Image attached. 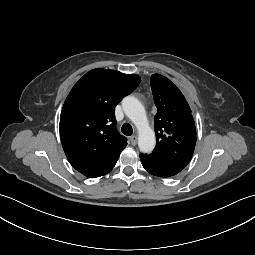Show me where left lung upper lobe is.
I'll return each instance as SVG.
<instances>
[{"label": "left lung upper lobe", "mask_w": 255, "mask_h": 255, "mask_svg": "<svg viewBox=\"0 0 255 255\" xmlns=\"http://www.w3.org/2000/svg\"><path fill=\"white\" fill-rule=\"evenodd\" d=\"M151 89L157 114L154 118L156 146L149 156L168 158L192 155L196 128L191 109L181 91L166 77L153 74Z\"/></svg>", "instance_id": "left-lung-upper-lobe-1"}]
</instances>
